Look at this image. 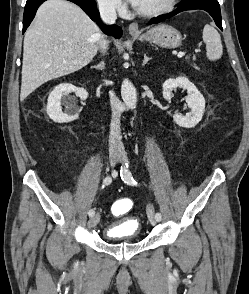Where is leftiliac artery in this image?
Here are the masks:
<instances>
[{
  "label": "left iliac artery",
  "instance_id": "1",
  "mask_svg": "<svg viewBox=\"0 0 249 294\" xmlns=\"http://www.w3.org/2000/svg\"><path fill=\"white\" fill-rule=\"evenodd\" d=\"M121 178L122 180L130 185H137V182L133 179L130 171L128 170V164L126 163V165L124 166V168H121V172H120ZM161 214L160 213H156L155 214V219L156 221H160L161 220Z\"/></svg>",
  "mask_w": 249,
  "mask_h": 294
}]
</instances>
